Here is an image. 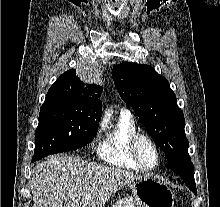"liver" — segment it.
<instances>
[{
	"label": "liver",
	"mask_w": 220,
	"mask_h": 207,
	"mask_svg": "<svg viewBox=\"0 0 220 207\" xmlns=\"http://www.w3.org/2000/svg\"><path fill=\"white\" fill-rule=\"evenodd\" d=\"M141 178L74 156L51 155L33 170V207H104L118 190Z\"/></svg>",
	"instance_id": "obj_1"
}]
</instances>
